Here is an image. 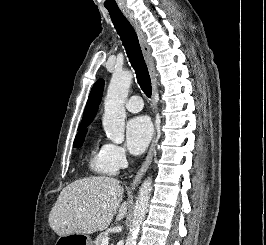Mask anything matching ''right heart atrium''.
Segmentation results:
<instances>
[{"instance_id": "obj_1", "label": "right heart atrium", "mask_w": 266, "mask_h": 245, "mask_svg": "<svg viewBox=\"0 0 266 245\" xmlns=\"http://www.w3.org/2000/svg\"><path fill=\"white\" fill-rule=\"evenodd\" d=\"M102 146L109 163L114 169H121L127 164L128 155L124 147L114 142H106Z\"/></svg>"}]
</instances>
